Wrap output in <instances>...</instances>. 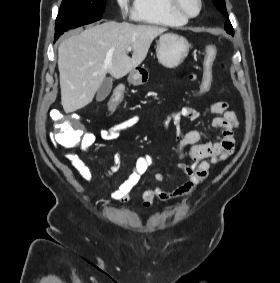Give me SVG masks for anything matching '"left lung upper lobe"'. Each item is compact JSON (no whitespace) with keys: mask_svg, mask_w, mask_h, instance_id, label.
<instances>
[{"mask_svg":"<svg viewBox=\"0 0 280 283\" xmlns=\"http://www.w3.org/2000/svg\"><path fill=\"white\" fill-rule=\"evenodd\" d=\"M214 5L219 9V11L224 15L225 18H227L226 22H225V30L233 35L234 34V30L233 27L231 25V22L228 19V15L226 12V5H225V1L224 0H213Z\"/></svg>","mask_w":280,"mask_h":283,"instance_id":"5c2ea615","label":"left lung upper lobe"}]
</instances>
